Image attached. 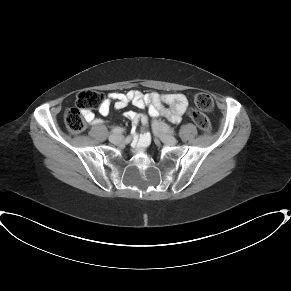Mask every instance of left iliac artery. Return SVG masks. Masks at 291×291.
<instances>
[{
	"mask_svg": "<svg viewBox=\"0 0 291 291\" xmlns=\"http://www.w3.org/2000/svg\"><path fill=\"white\" fill-rule=\"evenodd\" d=\"M162 128H163L164 131L170 132V133H172V134L175 133L174 129H172V128H171L170 126H168L167 124H163V125H162Z\"/></svg>",
	"mask_w": 291,
	"mask_h": 291,
	"instance_id": "obj_1",
	"label": "left iliac artery"
}]
</instances>
